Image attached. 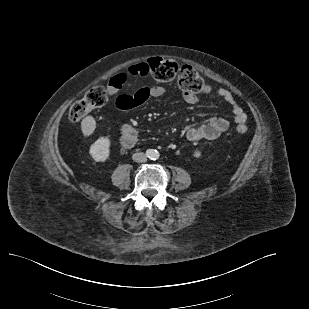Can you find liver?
<instances>
[{"label":"liver","mask_w":309,"mask_h":309,"mask_svg":"<svg viewBox=\"0 0 309 309\" xmlns=\"http://www.w3.org/2000/svg\"><path fill=\"white\" fill-rule=\"evenodd\" d=\"M96 128V122L93 117L87 116L81 122V130L84 136L91 135Z\"/></svg>","instance_id":"liver-1"}]
</instances>
